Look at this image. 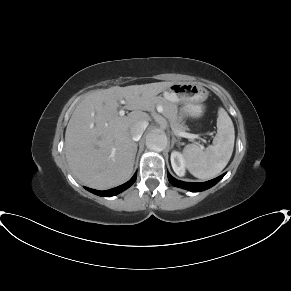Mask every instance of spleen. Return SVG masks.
Here are the masks:
<instances>
[{
	"instance_id": "obj_1",
	"label": "spleen",
	"mask_w": 291,
	"mask_h": 291,
	"mask_svg": "<svg viewBox=\"0 0 291 291\" xmlns=\"http://www.w3.org/2000/svg\"><path fill=\"white\" fill-rule=\"evenodd\" d=\"M235 141V131L228 113L220 108L217 118V134L213 145L202 150L195 144L186 145L183 157L189 172L199 179H210L218 175L228 164Z\"/></svg>"
}]
</instances>
